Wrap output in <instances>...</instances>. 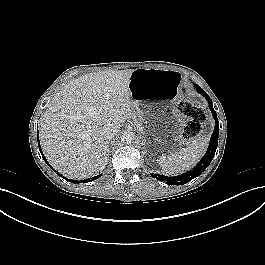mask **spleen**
Masks as SVG:
<instances>
[{
	"mask_svg": "<svg viewBox=\"0 0 265 265\" xmlns=\"http://www.w3.org/2000/svg\"><path fill=\"white\" fill-rule=\"evenodd\" d=\"M208 145V138L198 137L186 148L171 155L159 157V165L166 173H181L195 165L204 154Z\"/></svg>",
	"mask_w": 265,
	"mask_h": 265,
	"instance_id": "obj_1",
	"label": "spleen"
}]
</instances>
